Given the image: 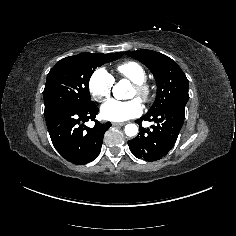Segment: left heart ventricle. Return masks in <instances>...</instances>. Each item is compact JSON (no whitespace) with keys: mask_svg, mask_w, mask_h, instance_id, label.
Masks as SVG:
<instances>
[{"mask_svg":"<svg viewBox=\"0 0 236 236\" xmlns=\"http://www.w3.org/2000/svg\"><path fill=\"white\" fill-rule=\"evenodd\" d=\"M129 99H138V93L133 87L130 90Z\"/></svg>","mask_w":236,"mask_h":236,"instance_id":"left-heart-ventricle-1","label":"left heart ventricle"}]
</instances>
